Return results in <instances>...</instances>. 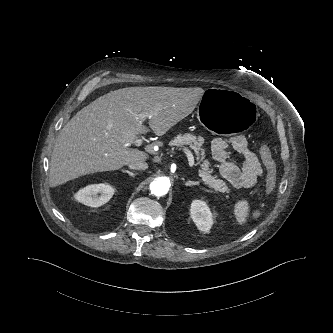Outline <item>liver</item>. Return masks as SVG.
Listing matches in <instances>:
<instances>
[{
    "mask_svg": "<svg viewBox=\"0 0 333 333\" xmlns=\"http://www.w3.org/2000/svg\"><path fill=\"white\" fill-rule=\"evenodd\" d=\"M204 92L198 87H127L97 98L62 128L51 155L52 186L147 160L144 151L129 147L148 132L139 115L149 117L151 130L162 136L194 110Z\"/></svg>",
    "mask_w": 333,
    "mask_h": 333,
    "instance_id": "obj_1",
    "label": "liver"
}]
</instances>
